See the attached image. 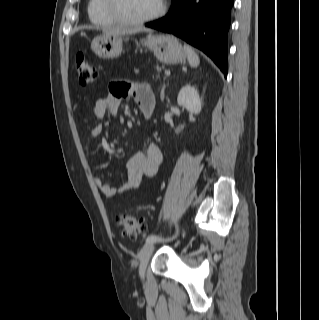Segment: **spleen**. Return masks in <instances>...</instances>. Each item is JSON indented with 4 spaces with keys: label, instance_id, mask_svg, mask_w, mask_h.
<instances>
[{
    "label": "spleen",
    "instance_id": "1",
    "mask_svg": "<svg viewBox=\"0 0 319 320\" xmlns=\"http://www.w3.org/2000/svg\"><path fill=\"white\" fill-rule=\"evenodd\" d=\"M184 51L187 56V60L191 67H197L200 63L199 57L196 52L189 45H184Z\"/></svg>",
    "mask_w": 319,
    "mask_h": 320
}]
</instances>
